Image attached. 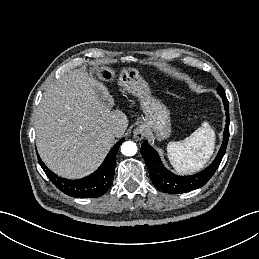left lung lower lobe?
I'll list each match as a JSON object with an SVG mask.
<instances>
[{"mask_svg":"<svg viewBox=\"0 0 259 259\" xmlns=\"http://www.w3.org/2000/svg\"><path fill=\"white\" fill-rule=\"evenodd\" d=\"M226 111V125L223 133L222 146L212 162L205 170L191 176H177L168 171L160 161L158 153L149 146L147 141L142 143L141 154L148 167L150 178L153 184L166 193H186L204 186L217 170L226 151L229 139V103L226 95H220Z\"/></svg>","mask_w":259,"mask_h":259,"instance_id":"1","label":"left lung lower lobe"}]
</instances>
